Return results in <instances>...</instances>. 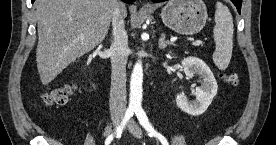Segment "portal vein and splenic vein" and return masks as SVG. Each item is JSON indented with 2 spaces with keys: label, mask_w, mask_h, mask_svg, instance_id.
<instances>
[{
  "label": "portal vein and splenic vein",
  "mask_w": 276,
  "mask_h": 145,
  "mask_svg": "<svg viewBox=\"0 0 276 145\" xmlns=\"http://www.w3.org/2000/svg\"><path fill=\"white\" fill-rule=\"evenodd\" d=\"M81 39H83V38H81ZM202 44H203V42L201 40H197V41L192 43L193 46H200Z\"/></svg>",
  "instance_id": "obj_1"
}]
</instances>
